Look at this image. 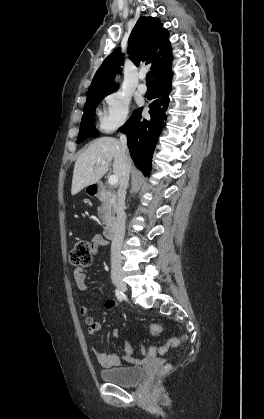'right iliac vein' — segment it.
<instances>
[{"label": "right iliac vein", "mask_w": 264, "mask_h": 419, "mask_svg": "<svg viewBox=\"0 0 264 419\" xmlns=\"http://www.w3.org/2000/svg\"><path fill=\"white\" fill-rule=\"evenodd\" d=\"M113 282L115 283V285L123 292H125L127 290V287L125 285V283L122 282V279L120 276L118 275H114L113 276Z\"/></svg>", "instance_id": "right-iliac-vein-1"}]
</instances>
